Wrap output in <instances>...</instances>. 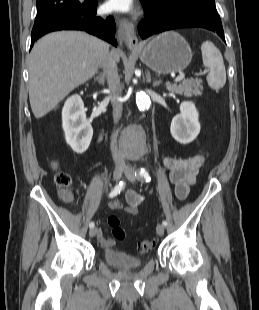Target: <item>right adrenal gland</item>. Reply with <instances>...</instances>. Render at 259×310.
<instances>
[{
  "mask_svg": "<svg viewBox=\"0 0 259 310\" xmlns=\"http://www.w3.org/2000/svg\"><path fill=\"white\" fill-rule=\"evenodd\" d=\"M96 81H98V83L100 85H104L105 84V74H100L95 78Z\"/></svg>",
  "mask_w": 259,
  "mask_h": 310,
  "instance_id": "right-adrenal-gland-1",
  "label": "right adrenal gland"
}]
</instances>
